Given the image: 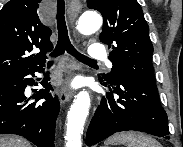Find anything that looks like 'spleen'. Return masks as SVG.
<instances>
[{"instance_id": "1", "label": "spleen", "mask_w": 183, "mask_h": 147, "mask_svg": "<svg viewBox=\"0 0 183 147\" xmlns=\"http://www.w3.org/2000/svg\"><path fill=\"white\" fill-rule=\"evenodd\" d=\"M117 144L126 147H161L160 143L152 137L136 132L118 133L105 141V145Z\"/></svg>"}]
</instances>
